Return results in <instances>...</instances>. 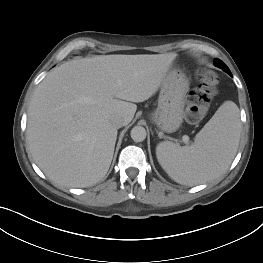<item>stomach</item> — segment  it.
<instances>
[{
    "label": "stomach",
    "mask_w": 263,
    "mask_h": 263,
    "mask_svg": "<svg viewBox=\"0 0 263 263\" xmlns=\"http://www.w3.org/2000/svg\"><path fill=\"white\" fill-rule=\"evenodd\" d=\"M188 90L186 75L179 69L170 70L161 85L157 109L151 114V120L162 131L173 133L181 126Z\"/></svg>",
    "instance_id": "0dacf381"
}]
</instances>
